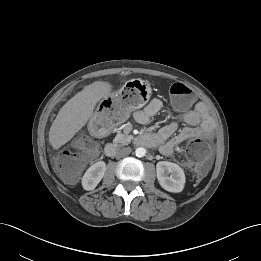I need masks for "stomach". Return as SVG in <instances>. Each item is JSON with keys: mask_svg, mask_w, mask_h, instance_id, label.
I'll list each match as a JSON object with an SVG mask.
<instances>
[{"mask_svg": "<svg viewBox=\"0 0 261 261\" xmlns=\"http://www.w3.org/2000/svg\"><path fill=\"white\" fill-rule=\"evenodd\" d=\"M112 96L117 97L125 108L127 115H129L130 112L141 108L148 102L151 96V88L144 80L131 79L123 85L119 92ZM88 128L92 134L98 136L108 133L113 125H105L103 120L95 113L89 121Z\"/></svg>", "mask_w": 261, "mask_h": 261, "instance_id": "stomach-1", "label": "stomach"}]
</instances>
